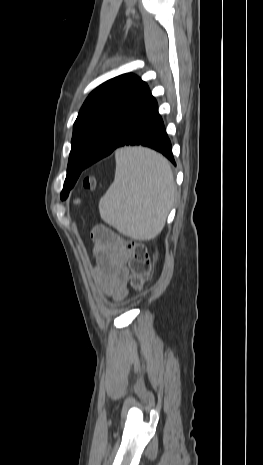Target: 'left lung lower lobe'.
<instances>
[{
	"label": "left lung lower lobe",
	"instance_id": "0a47b994",
	"mask_svg": "<svg viewBox=\"0 0 263 465\" xmlns=\"http://www.w3.org/2000/svg\"><path fill=\"white\" fill-rule=\"evenodd\" d=\"M125 145L150 147L161 152L175 165L171 143L158 113L157 102L146 83L136 98L115 116L102 133L85 163V168Z\"/></svg>",
	"mask_w": 263,
	"mask_h": 465
}]
</instances>
